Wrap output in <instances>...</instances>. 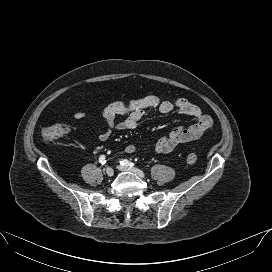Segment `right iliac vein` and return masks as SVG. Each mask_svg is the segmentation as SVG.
<instances>
[{
  "instance_id": "63e3f726",
  "label": "right iliac vein",
  "mask_w": 272,
  "mask_h": 272,
  "mask_svg": "<svg viewBox=\"0 0 272 272\" xmlns=\"http://www.w3.org/2000/svg\"><path fill=\"white\" fill-rule=\"evenodd\" d=\"M105 174H106L108 177H112V176L114 175V170H113V168L107 167L106 170H105Z\"/></svg>"
}]
</instances>
